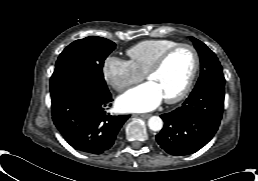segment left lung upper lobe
<instances>
[{
	"label": "left lung upper lobe",
	"instance_id": "left-lung-upper-lobe-1",
	"mask_svg": "<svg viewBox=\"0 0 258 181\" xmlns=\"http://www.w3.org/2000/svg\"><path fill=\"white\" fill-rule=\"evenodd\" d=\"M190 38L199 53L201 62V74L192 93L199 92L212 85L224 86L225 79L222 67L216 55L201 41L194 37Z\"/></svg>",
	"mask_w": 258,
	"mask_h": 181
}]
</instances>
